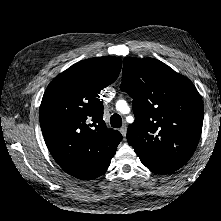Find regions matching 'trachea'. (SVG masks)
Here are the masks:
<instances>
[{
  "label": "trachea",
  "instance_id": "1",
  "mask_svg": "<svg viewBox=\"0 0 221 221\" xmlns=\"http://www.w3.org/2000/svg\"><path fill=\"white\" fill-rule=\"evenodd\" d=\"M110 124L113 128H120L122 126V118L118 114H113L110 118Z\"/></svg>",
  "mask_w": 221,
  "mask_h": 221
}]
</instances>
